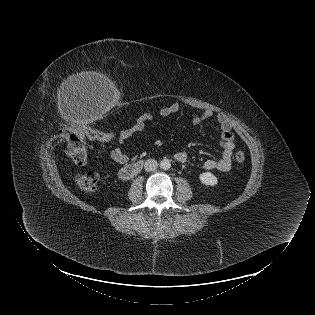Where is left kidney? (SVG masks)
Segmentation results:
<instances>
[{
  "label": "left kidney",
  "instance_id": "obj_1",
  "mask_svg": "<svg viewBox=\"0 0 315 315\" xmlns=\"http://www.w3.org/2000/svg\"><path fill=\"white\" fill-rule=\"evenodd\" d=\"M199 179L204 185L214 186L218 183L216 176H214L211 172H203L200 174Z\"/></svg>",
  "mask_w": 315,
  "mask_h": 315
}]
</instances>
